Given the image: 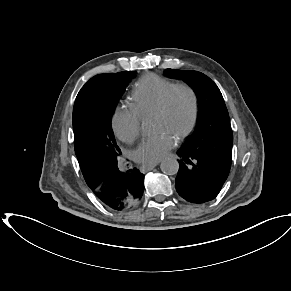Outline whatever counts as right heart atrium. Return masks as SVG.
Wrapping results in <instances>:
<instances>
[{
  "mask_svg": "<svg viewBox=\"0 0 291 291\" xmlns=\"http://www.w3.org/2000/svg\"><path fill=\"white\" fill-rule=\"evenodd\" d=\"M111 126L116 137L125 143H133L141 134V119L128 107H117Z\"/></svg>",
  "mask_w": 291,
  "mask_h": 291,
  "instance_id": "obj_1",
  "label": "right heart atrium"
}]
</instances>
